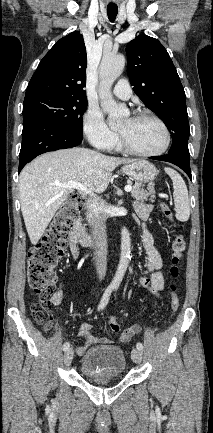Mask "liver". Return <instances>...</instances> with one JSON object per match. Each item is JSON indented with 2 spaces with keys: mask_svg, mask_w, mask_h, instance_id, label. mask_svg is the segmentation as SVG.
I'll list each match as a JSON object with an SVG mask.
<instances>
[{
  "mask_svg": "<svg viewBox=\"0 0 213 433\" xmlns=\"http://www.w3.org/2000/svg\"><path fill=\"white\" fill-rule=\"evenodd\" d=\"M135 160L120 159L85 148H70L45 153L20 173L21 212L30 241L35 245L44 234L56 211L73 192L56 183L75 181L88 190L101 193L108 187L112 171Z\"/></svg>",
  "mask_w": 213,
  "mask_h": 433,
  "instance_id": "liver-1",
  "label": "liver"
}]
</instances>
